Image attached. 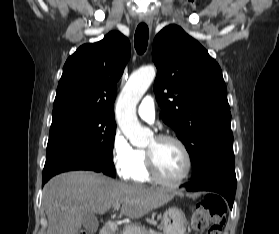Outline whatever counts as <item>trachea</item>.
<instances>
[{
	"mask_svg": "<svg viewBox=\"0 0 279 234\" xmlns=\"http://www.w3.org/2000/svg\"><path fill=\"white\" fill-rule=\"evenodd\" d=\"M149 30L145 23H140L135 32V49L138 54H143L148 45Z\"/></svg>",
	"mask_w": 279,
	"mask_h": 234,
	"instance_id": "trachea-1",
	"label": "trachea"
}]
</instances>
